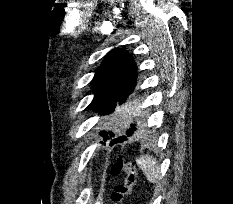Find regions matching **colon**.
Returning <instances> with one entry per match:
<instances>
[{
	"label": "colon",
	"instance_id": "1",
	"mask_svg": "<svg viewBox=\"0 0 233 204\" xmlns=\"http://www.w3.org/2000/svg\"><path fill=\"white\" fill-rule=\"evenodd\" d=\"M110 173L112 176L124 175V180L115 186L111 194L114 204H124L136 183L138 175L136 167L134 163L120 158L113 163Z\"/></svg>",
	"mask_w": 233,
	"mask_h": 204
}]
</instances>
